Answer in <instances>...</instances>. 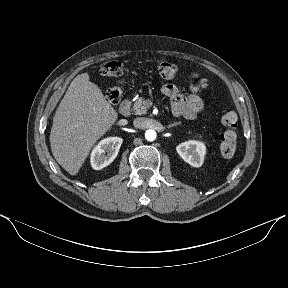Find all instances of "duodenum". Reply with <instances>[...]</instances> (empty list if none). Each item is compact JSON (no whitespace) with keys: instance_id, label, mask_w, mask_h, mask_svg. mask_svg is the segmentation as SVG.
Here are the masks:
<instances>
[{"instance_id":"410a0bca","label":"duodenum","mask_w":288,"mask_h":288,"mask_svg":"<svg viewBox=\"0 0 288 288\" xmlns=\"http://www.w3.org/2000/svg\"><path fill=\"white\" fill-rule=\"evenodd\" d=\"M119 112L123 116H128L130 114V103L128 100H124L121 102L119 106Z\"/></svg>"}]
</instances>
